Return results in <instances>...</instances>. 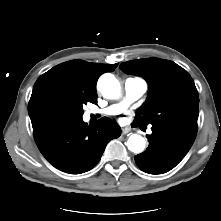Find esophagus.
<instances>
[{"mask_svg":"<svg viewBox=\"0 0 221 221\" xmlns=\"http://www.w3.org/2000/svg\"><path fill=\"white\" fill-rule=\"evenodd\" d=\"M130 132V129L127 128V127H124L122 128V133L125 135V134H128Z\"/></svg>","mask_w":221,"mask_h":221,"instance_id":"34e87169","label":"esophagus"}]
</instances>
